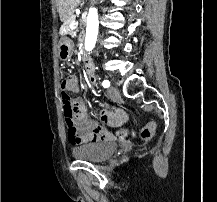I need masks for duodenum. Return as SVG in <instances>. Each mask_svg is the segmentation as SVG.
I'll return each mask as SVG.
<instances>
[{"label": "duodenum", "instance_id": "410a0bca", "mask_svg": "<svg viewBox=\"0 0 217 202\" xmlns=\"http://www.w3.org/2000/svg\"><path fill=\"white\" fill-rule=\"evenodd\" d=\"M84 68L89 78H93L95 73L94 64L88 56L84 58Z\"/></svg>", "mask_w": 217, "mask_h": 202}]
</instances>
